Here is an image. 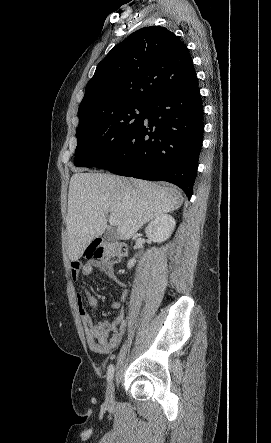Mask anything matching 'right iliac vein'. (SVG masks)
Wrapping results in <instances>:
<instances>
[{"instance_id": "1", "label": "right iliac vein", "mask_w": 271, "mask_h": 443, "mask_svg": "<svg viewBox=\"0 0 271 443\" xmlns=\"http://www.w3.org/2000/svg\"><path fill=\"white\" fill-rule=\"evenodd\" d=\"M106 407L112 409L115 404V396H114V384L113 382L109 383L106 390V398H105Z\"/></svg>"}]
</instances>
